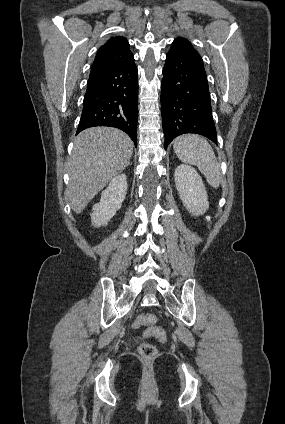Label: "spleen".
Returning a JSON list of instances; mask_svg holds the SVG:
<instances>
[{"label": "spleen", "mask_w": 285, "mask_h": 424, "mask_svg": "<svg viewBox=\"0 0 285 424\" xmlns=\"http://www.w3.org/2000/svg\"><path fill=\"white\" fill-rule=\"evenodd\" d=\"M173 149L182 162L197 166L209 185L220 186V165L207 140L195 134L181 135L174 140Z\"/></svg>", "instance_id": "spleen-1"}]
</instances>
